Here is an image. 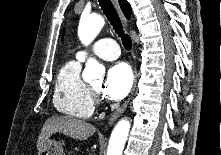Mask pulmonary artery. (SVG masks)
<instances>
[{"label": "pulmonary artery", "instance_id": "e3ab8cb5", "mask_svg": "<svg viewBox=\"0 0 221 155\" xmlns=\"http://www.w3.org/2000/svg\"><path fill=\"white\" fill-rule=\"evenodd\" d=\"M92 52L104 60H114L120 55L118 44L111 38H104L97 41L92 48ZM87 54V51L82 50L77 53L76 57L82 61L87 57Z\"/></svg>", "mask_w": 221, "mask_h": 155}]
</instances>
